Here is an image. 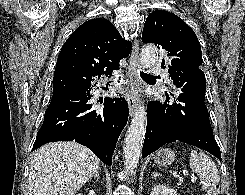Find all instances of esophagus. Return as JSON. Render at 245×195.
I'll return each instance as SVG.
<instances>
[{
  "label": "esophagus",
  "instance_id": "obj_1",
  "mask_svg": "<svg viewBox=\"0 0 245 195\" xmlns=\"http://www.w3.org/2000/svg\"><path fill=\"white\" fill-rule=\"evenodd\" d=\"M140 68L139 64V42L137 39L134 40V45L132 53L130 56L128 64V77L131 83V87L127 92L126 100L129 106L130 116H133L134 111L138 103V83H139V74L138 69Z\"/></svg>",
  "mask_w": 245,
  "mask_h": 195
}]
</instances>
